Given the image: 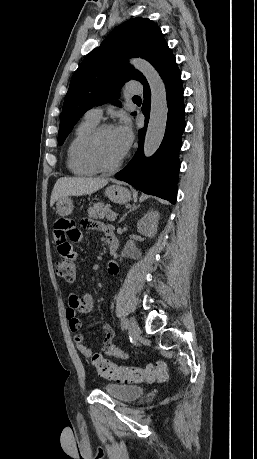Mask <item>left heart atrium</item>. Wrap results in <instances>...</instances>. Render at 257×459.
Listing matches in <instances>:
<instances>
[{
  "instance_id": "1",
  "label": "left heart atrium",
  "mask_w": 257,
  "mask_h": 459,
  "mask_svg": "<svg viewBox=\"0 0 257 459\" xmlns=\"http://www.w3.org/2000/svg\"><path fill=\"white\" fill-rule=\"evenodd\" d=\"M114 133L123 154L130 148L133 141V129L130 120L122 118L118 125L114 127Z\"/></svg>"
}]
</instances>
